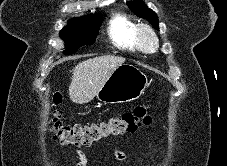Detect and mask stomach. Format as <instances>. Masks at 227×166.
I'll return each mask as SVG.
<instances>
[{
    "label": "stomach",
    "instance_id": "1",
    "mask_svg": "<svg viewBox=\"0 0 227 166\" xmlns=\"http://www.w3.org/2000/svg\"><path fill=\"white\" fill-rule=\"evenodd\" d=\"M149 85L144 72L132 64H122L113 71L97 93L105 104L126 103L139 99Z\"/></svg>",
    "mask_w": 227,
    "mask_h": 166
}]
</instances>
